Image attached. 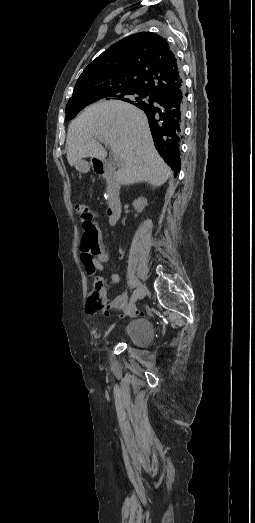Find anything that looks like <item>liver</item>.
<instances>
[{
    "label": "liver",
    "mask_w": 255,
    "mask_h": 523,
    "mask_svg": "<svg viewBox=\"0 0 255 523\" xmlns=\"http://www.w3.org/2000/svg\"><path fill=\"white\" fill-rule=\"evenodd\" d=\"M96 140L121 158L117 178L123 186L136 182L162 186L171 176L154 146L146 114L132 104L103 100L72 120L66 140L68 164L76 166L82 158L105 160L107 152Z\"/></svg>",
    "instance_id": "1"
}]
</instances>
